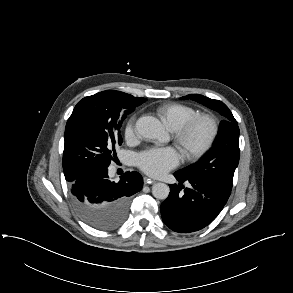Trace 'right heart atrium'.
<instances>
[{
	"instance_id": "right-heart-atrium-1",
	"label": "right heart atrium",
	"mask_w": 293,
	"mask_h": 293,
	"mask_svg": "<svg viewBox=\"0 0 293 293\" xmlns=\"http://www.w3.org/2000/svg\"><path fill=\"white\" fill-rule=\"evenodd\" d=\"M135 133V118L130 117L128 121L126 122L125 129H124V135L126 138H131Z\"/></svg>"
}]
</instances>
